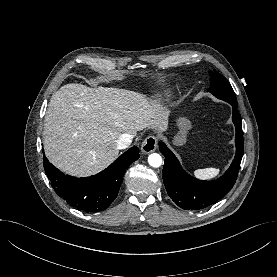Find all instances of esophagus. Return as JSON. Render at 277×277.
<instances>
[{"instance_id": "obj_1", "label": "esophagus", "mask_w": 277, "mask_h": 277, "mask_svg": "<svg viewBox=\"0 0 277 277\" xmlns=\"http://www.w3.org/2000/svg\"><path fill=\"white\" fill-rule=\"evenodd\" d=\"M158 140L155 136H148L141 145L143 154L154 152L157 149Z\"/></svg>"}]
</instances>
